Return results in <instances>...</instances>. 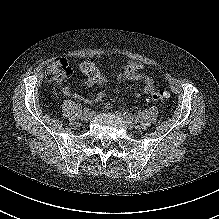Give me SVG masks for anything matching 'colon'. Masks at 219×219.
<instances>
[{"label":"colon","instance_id":"obj_1","mask_svg":"<svg viewBox=\"0 0 219 219\" xmlns=\"http://www.w3.org/2000/svg\"><path fill=\"white\" fill-rule=\"evenodd\" d=\"M139 70L135 64L126 65L124 68V75L130 77ZM72 74V68L67 58H56L46 71V78L49 81H62ZM168 98V93L163 90H157L149 93L148 99L150 101L158 102L164 101Z\"/></svg>","mask_w":219,"mask_h":219}]
</instances>
